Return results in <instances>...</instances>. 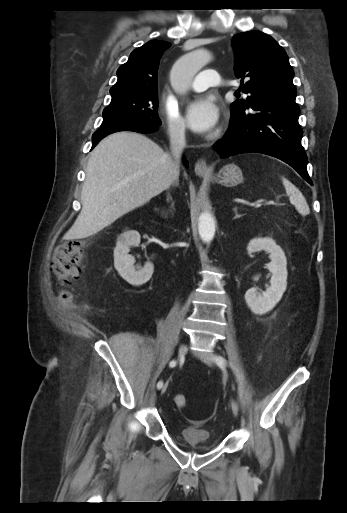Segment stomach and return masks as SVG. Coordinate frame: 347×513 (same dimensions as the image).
Wrapping results in <instances>:
<instances>
[{
    "mask_svg": "<svg viewBox=\"0 0 347 513\" xmlns=\"http://www.w3.org/2000/svg\"><path fill=\"white\" fill-rule=\"evenodd\" d=\"M212 179L218 184L232 187L240 184L244 180V177L242 170L236 164H227L223 166Z\"/></svg>",
    "mask_w": 347,
    "mask_h": 513,
    "instance_id": "obj_1",
    "label": "stomach"
}]
</instances>
